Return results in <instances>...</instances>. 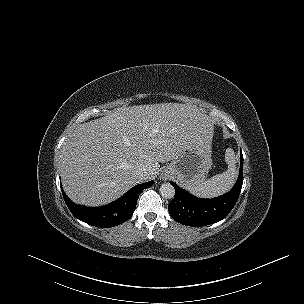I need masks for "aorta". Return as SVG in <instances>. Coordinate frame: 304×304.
Masks as SVG:
<instances>
[{"label":"aorta","instance_id":"762f6f07","mask_svg":"<svg viewBox=\"0 0 304 304\" xmlns=\"http://www.w3.org/2000/svg\"><path fill=\"white\" fill-rule=\"evenodd\" d=\"M160 194L165 199H173L175 196V188L170 183H164L160 186Z\"/></svg>","mask_w":304,"mask_h":304}]
</instances>
